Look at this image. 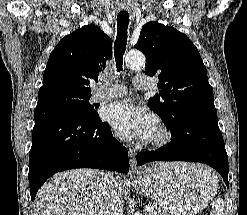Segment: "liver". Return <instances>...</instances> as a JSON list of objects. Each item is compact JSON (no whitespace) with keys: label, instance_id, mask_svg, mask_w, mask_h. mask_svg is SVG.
I'll return each mask as SVG.
<instances>
[{"label":"liver","instance_id":"liver-1","mask_svg":"<svg viewBox=\"0 0 247 215\" xmlns=\"http://www.w3.org/2000/svg\"><path fill=\"white\" fill-rule=\"evenodd\" d=\"M104 176L92 169L56 174L38 191L34 215H104L108 192ZM113 178L121 188L119 176Z\"/></svg>","mask_w":247,"mask_h":215}]
</instances>
